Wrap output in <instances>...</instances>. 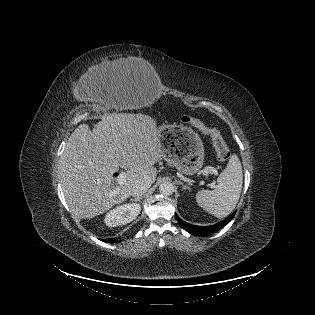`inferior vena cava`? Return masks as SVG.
Wrapping results in <instances>:
<instances>
[{"label":"inferior vena cava","mask_w":315,"mask_h":315,"mask_svg":"<svg viewBox=\"0 0 315 315\" xmlns=\"http://www.w3.org/2000/svg\"><path fill=\"white\" fill-rule=\"evenodd\" d=\"M150 186H151V182L147 180L137 183L132 188L131 196L140 197L144 195L147 192V190L150 188Z\"/></svg>","instance_id":"obj_1"}]
</instances>
